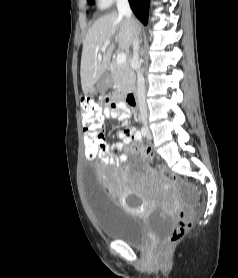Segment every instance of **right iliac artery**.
<instances>
[{"label": "right iliac artery", "mask_w": 238, "mask_h": 278, "mask_svg": "<svg viewBox=\"0 0 238 278\" xmlns=\"http://www.w3.org/2000/svg\"><path fill=\"white\" fill-rule=\"evenodd\" d=\"M141 133H142V135H143L144 137L147 136V130H146L145 127H142V128H141Z\"/></svg>", "instance_id": "obj_1"}]
</instances>
